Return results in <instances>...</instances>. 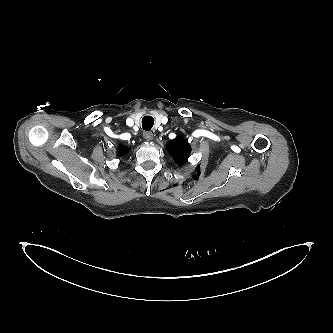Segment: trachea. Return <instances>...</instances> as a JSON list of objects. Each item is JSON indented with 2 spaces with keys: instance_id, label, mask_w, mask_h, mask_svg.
Masks as SVG:
<instances>
[{
  "instance_id": "3493384b",
  "label": "trachea",
  "mask_w": 333,
  "mask_h": 333,
  "mask_svg": "<svg viewBox=\"0 0 333 333\" xmlns=\"http://www.w3.org/2000/svg\"><path fill=\"white\" fill-rule=\"evenodd\" d=\"M154 125V118L151 116H144L142 118V127L144 130L149 131Z\"/></svg>"
}]
</instances>
